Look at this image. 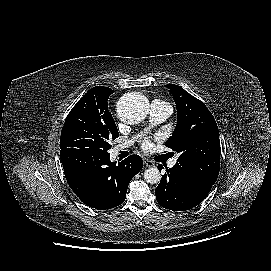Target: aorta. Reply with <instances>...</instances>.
I'll return each instance as SVG.
<instances>
[{"mask_svg":"<svg viewBox=\"0 0 271 271\" xmlns=\"http://www.w3.org/2000/svg\"><path fill=\"white\" fill-rule=\"evenodd\" d=\"M119 116L126 123H137L145 119L148 113L147 99L140 94H128L122 97L119 107ZM160 171L156 167H149L144 171V180L150 184L160 181Z\"/></svg>","mask_w":271,"mask_h":271,"instance_id":"obj_1","label":"aorta"}]
</instances>
